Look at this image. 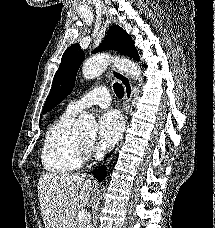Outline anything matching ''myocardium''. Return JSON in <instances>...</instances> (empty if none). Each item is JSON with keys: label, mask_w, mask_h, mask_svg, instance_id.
Listing matches in <instances>:
<instances>
[{"label": "myocardium", "mask_w": 215, "mask_h": 228, "mask_svg": "<svg viewBox=\"0 0 215 228\" xmlns=\"http://www.w3.org/2000/svg\"><path fill=\"white\" fill-rule=\"evenodd\" d=\"M80 145L82 147V149L87 148L89 145L85 144L84 142H80Z\"/></svg>", "instance_id": "f54148a6"}]
</instances>
